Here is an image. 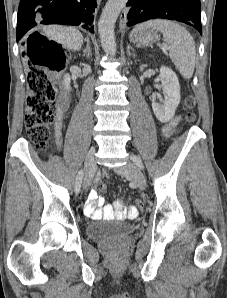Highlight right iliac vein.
Wrapping results in <instances>:
<instances>
[{
    "mask_svg": "<svg viewBox=\"0 0 227 298\" xmlns=\"http://www.w3.org/2000/svg\"><path fill=\"white\" fill-rule=\"evenodd\" d=\"M85 182L86 186H89L91 179L94 175L95 170V158H94V151H89L86 158H85Z\"/></svg>",
    "mask_w": 227,
    "mask_h": 298,
    "instance_id": "63e3f726",
    "label": "right iliac vein"
}]
</instances>
